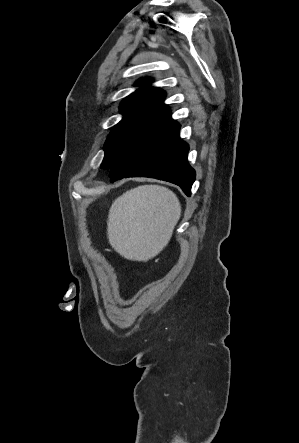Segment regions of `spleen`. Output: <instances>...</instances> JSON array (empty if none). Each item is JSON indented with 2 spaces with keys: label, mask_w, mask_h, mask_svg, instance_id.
<instances>
[{
  "label": "spleen",
  "mask_w": 299,
  "mask_h": 443,
  "mask_svg": "<svg viewBox=\"0 0 299 443\" xmlns=\"http://www.w3.org/2000/svg\"><path fill=\"white\" fill-rule=\"evenodd\" d=\"M180 215V202L167 188L151 185L131 189L109 210V242L125 258L153 257L170 240Z\"/></svg>",
  "instance_id": "3e777b00"
}]
</instances>
